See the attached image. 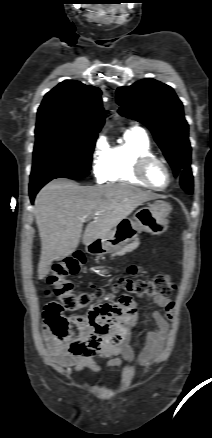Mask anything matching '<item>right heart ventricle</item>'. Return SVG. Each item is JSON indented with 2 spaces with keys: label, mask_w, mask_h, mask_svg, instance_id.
<instances>
[{
  "label": "right heart ventricle",
  "mask_w": 212,
  "mask_h": 438,
  "mask_svg": "<svg viewBox=\"0 0 212 438\" xmlns=\"http://www.w3.org/2000/svg\"><path fill=\"white\" fill-rule=\"evenodd\" d=\"M154 155L149 137L142 129L132 128L124 135V142L108 148L107 172L104 181L125 182L145 186L134 174L137 160Z\"/></svg>",
  "instance_id": "right-heart-ventricle-1"
}]
</instances>
